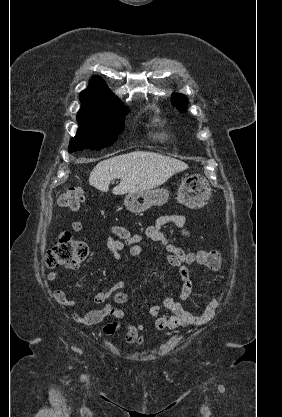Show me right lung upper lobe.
<instances>
[{
  "label": "right lung upper lobe",
  "mask_w": 282,
  "mask_h": 417,
  "mask_svg": "<svg viewBox=\"0 0 282 417\" xmlns=\"http://www.w3.org/2000/svg\"><path fill=\"white\" fill-rule=\"evenodd\" d=\"M116 97L106 86V83L98 76L92 77L88 89L80 93V99L110 98Z\"/></svg>",
  "instance_id": "cb5924a9"
}]
</instances>
